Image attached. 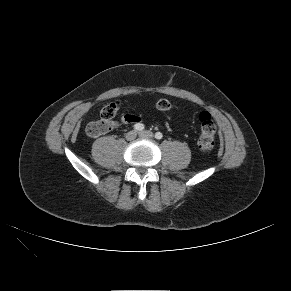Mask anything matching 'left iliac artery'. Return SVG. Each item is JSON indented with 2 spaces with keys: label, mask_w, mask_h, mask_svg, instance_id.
<instances>
[{
  "label": "left iliac artery",
  "mask_w": 291,
  "mask_h": 291,
  "mask_svg": "<svg viewBox=\"0 0 291 291\" xmlns=\"http://www.w3.org/2000/svg\"><path fill=\"white\" fill-rule=\"evenodd\" d=\"M162 137H163V135H162L161 132H156V133H155V138H156V139L160 140V139H162Z\"/></svg>",
  "instance_id": "obj_1"
}]
</instances>
